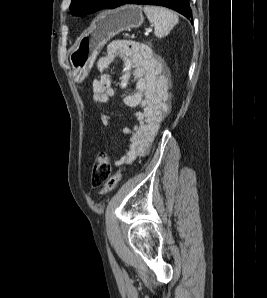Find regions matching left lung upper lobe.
<instances>
[{
	"label": "left lung upper lobe",
	"mask_w": 267,
	"mask_h": 298,
	"mask_svg": "<svg viewBox=\"0 0 267 298\" xmlns=\"http://www.w3.org/2000/svg\"><path fill=\"white\" fill-rule=\"evenodd\" d=\"M119 0H72L70 11L77 16H85L103 8H116Z\"/></svg>",
	"instance_id": "1"
}]
</instances>
